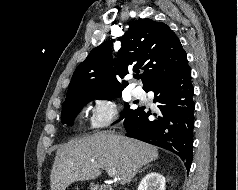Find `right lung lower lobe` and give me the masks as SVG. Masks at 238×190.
I'll use <instances>...</instances> for the list:
<instances>
[{
  "label": "right lung lower lobe",
  "mask_w": 238,
  "mask_h": 190,
  "mask_svg": "<svg viewBox=\"0 0 238 190\" xmlns=\"http://www.w3.org/2000/svg\"><path fill=\"white\" fill-rule=\"evenodd\" d=\"M191 69L187 60L172 75L151 85L159 103L156 119L151 112L137 108L124 119V127L133 137L177 154L189 171L192 162L194 108Z\"/></svg>",
  "instance_id": "1"
}]
</instances>
